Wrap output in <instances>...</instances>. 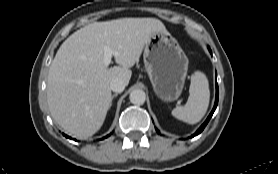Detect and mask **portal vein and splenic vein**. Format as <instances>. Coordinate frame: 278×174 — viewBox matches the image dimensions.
<instances>
[{
    "mask_svg": "<svg viewBox=\"0 0 278 174\" xmlns=\"http://www.w3.org/2000/svg\"><path fill=\"white\" fill-rule=\"evenodd\" d=\"M118 52L113 51L111 48L106 47L104 49V58L103 63L105 66H108L111 63L112 56L118 55Z\"/></svg>",
    "mask_w": 278,
    "mask_h": 174,
    "instance_id": "18ae733b",
    "label": "portal vein and splenic vein"
}]
</instances>
